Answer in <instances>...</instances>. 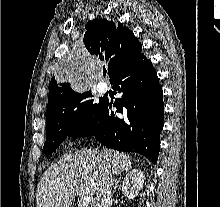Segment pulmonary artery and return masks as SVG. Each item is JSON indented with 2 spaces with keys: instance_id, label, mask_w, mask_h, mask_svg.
Listing matches in <instances>:
<instances>
[{
  "instance_id": "obj_1",
  "label": "pulmonary artery",
  "mask_w": 220,
  "mask_h": 207,
  "mask_svg": "<svg viewBox=\"0 0 220 207\" xmlns=\"http://www.w3.org/2000/svg\"><path fill=\"white\" fill-rule=\"evenodd\" d=\"M101 93H103L105 90H104V88H100V90H99Z\"/></svg>"
}]
</instances>
